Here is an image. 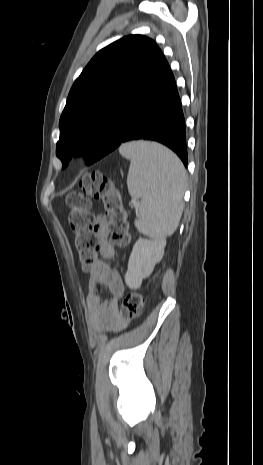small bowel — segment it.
I'll return each mask as SVG.
<instances>
[{
  "instance_id": "c3829d8e",
  "label": "small bowel",
  "mask_w": 263,
  "mask_h": 465,
  "mask_svg": "<svg viewBox=\"0 0 263 465\" xmlns=\"http://www.w3.org/2000/svg\"><path fill=\"white\" fill-rule=\"evenodd\" d=\"M99 238L100 258L91 270L88 283L89 295L86 302V315L96 330L103 328L115 330V334H135L136 322H119V299L125 292L124 283L119 272L109 266L104 259L113 258L115 249L108 240V231L102 224L96 230ZM104 287L112 298L102 299L99 288Z\"/></svg>"
}]
</instances>
